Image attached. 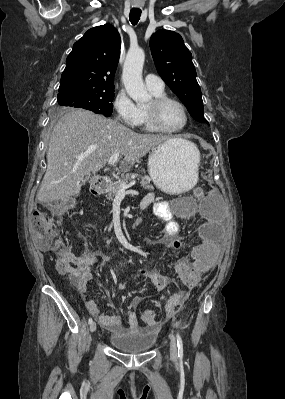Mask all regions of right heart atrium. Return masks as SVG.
<instances>
[{
    "instance_id": "right-heart-atrium-1",
    "label": "right heart atrium",
    "mask_w": 285,
    "mask_h": 399,
    "mask_svg": "<svg viewBox=\"0 0 285 399\" xmlns=\"http://www.w3.org/2000/svg\"><path fill=\"white\" fill-rule=\"evenodd\" d=\"M116 117L129 127H136L139 124V108L126 92L120 91L113 102Z\"/></svg>"
}]
</instances>
